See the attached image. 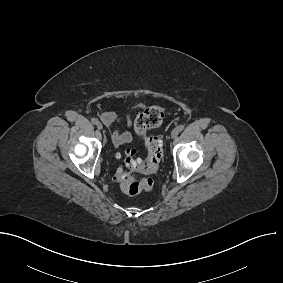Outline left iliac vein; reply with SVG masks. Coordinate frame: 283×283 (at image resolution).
Wrapping results in <instances>:
<instances>
[{
  "label": "left iliac vein",
  "mask_w": 283,
  "mask_h": 283,
  "mask_svg": "<svg viewBox=\"0 0 283 283\" xmlns=\"http://www.w3.org/2000/svg\"><path fill=\"white\" fill-rule=\"evenodd\" d=\"M179 131L177 128L173 129L172 132H171V137L172 138H176L177 135H178Z\"/></svg>",
  "instance_id": "left-iliac-vein-1"
}]
</instances>
